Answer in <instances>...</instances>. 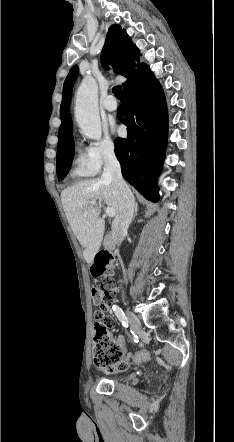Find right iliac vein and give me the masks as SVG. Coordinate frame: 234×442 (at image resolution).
<instances>
[{
  "label": "right iliac vein",
  "instance_id": "obj_1",
  "mask_svg": "<svg viewBox=\"0 0 234 442\" xmlns=\"http://www.w3.org/2000/svg\"><path fill=\"white\" fill-rule=\"evenodd\" d=\"M130 325L135 333H137L141 328L140 320L136 315L131 312L127 313Z\"/></svg>",
  "mask_w": 234,
  "mask_h": 442
}]
</instances>
